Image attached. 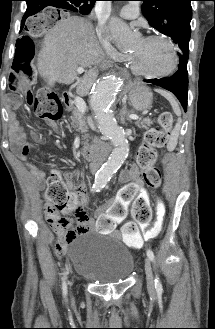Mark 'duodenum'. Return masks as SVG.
<instances>
[{
	"label": "duodenum",
	"instance_id": "duodenum-1",
	"mask_svg": "<svg viewBox=\"0 0 215 329\" xmlns=\"http://www.w3.org/2000/svg\"><path fill=\"white\" fill-rule=\"evenodd\" d=\"M62 102L66 107L71 106L72 95L68 92L62 94ZM106 143H100L95 146L85 147L82 149V156L89 161L93 166L97 167L103 161V156L108 152Z\"/></svg>",
	"mask_w": 215,
	"mask_h": 329
}]
</instances>
